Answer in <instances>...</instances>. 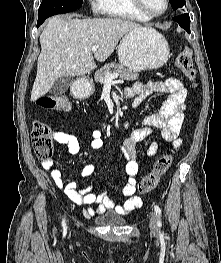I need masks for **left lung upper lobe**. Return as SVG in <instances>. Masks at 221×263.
Instances as JSON below:
<instances>
[{
	"label": "left lung upper lobe",
	"instance_id": "1",
	"mask_svg": "<svg viewBox=\"0 0 221 263\" xmlns=\"http://www.w3.org/2000/svg\"><path fill=\"white\" fill-rule=\"evenodd\" d=\"M169 1L174 10H177L179 8H183L186 6L185 0H169Z\"/></svg>",
	"mask_w": 221,
	"mask_h": 263
}]
</instances>
